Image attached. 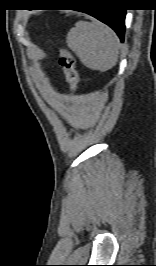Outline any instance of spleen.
<instances>
[{
    "mask_svg": "<svg viewBox=\"0 0 156 266\" xmlns=\"http://www.w3.org/2000/svg\"><path fill=\"white\" fill-rule=\"evenodd\" d=\"M68 47L81 63L101 72L112 69L119 55V40L114 31L95 21H79L67 34Z\"/></svg>",
    "mask_w": 156,
    "mask_h": 266,
    "instance_id": "1",
    "label": "spleen"
}]
</instances>
